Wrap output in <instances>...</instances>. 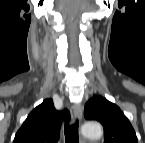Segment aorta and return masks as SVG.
<instances>
[{"mask_svg": "<svg viewBox=\"0 0 145 143\" xmlns=\"http://www.w3.org/2000/svg\"><path fill=\"white\" fill-rule=\"evenodd\" d=\"M82 134L87 138H100L103 130L99 123L88 121L82 127Z\"/></svg>", "mask_w": 145, "mask_h": 143, "instance_id": "obj_1", "label": "aorta"}]
</instances>
